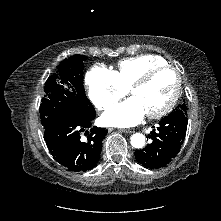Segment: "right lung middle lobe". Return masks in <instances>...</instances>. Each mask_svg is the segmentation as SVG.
<instances>
[{
  "label": "right lung middle lobe",
  "mask_w": 221,
  "mask_h": 221,
  "mask_svg": "<svg viewBox=\"0 0 221 221\" xmlns=\"http://www.w3.org/2000/svg\"><path fill=\"white\" fill-rule=\"evenodd\" d=\"M86 59L84 55L64 59L57 71L47 79L40 105V119L44 129L66 115L94 110L83 87L82 70Z\"/></svg>",
  "instance_id": "1"
}]
</instances>
